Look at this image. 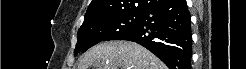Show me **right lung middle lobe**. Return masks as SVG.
<instances>
[{
    "instance_id": "right-lung-middle-lobe-1",
    "label": "right lung middle lobe",
    "mask_w": 246,
    "mask_h": 69,
    "mask_svg": "<svg viewBox=\"0 0 246 69\" xmlns=\"http://www.w3.org/2000/svg\"><path fill=\"white\" fill-rule=\"evenodd\" d=\"M165 1L167 0L163 3ZM141 20L142 14H122L84 22L78 31L74 55L85 52L102 41L120 39L125 33L137 27Z\"/></svg>"
}]
</instances>
